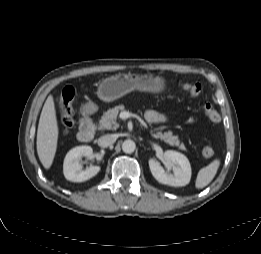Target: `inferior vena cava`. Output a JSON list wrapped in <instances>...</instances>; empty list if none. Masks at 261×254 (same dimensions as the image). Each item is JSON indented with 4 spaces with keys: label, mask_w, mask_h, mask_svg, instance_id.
Here are the masks:
<instances>
[{
    "label": "inferior vena cava",
    "mask_w": 261,
    "mask_h": 254,
    "mask_svg": "<svg viewBox=\"0 0 261 254\" xmlns=\"http://www.w3.org/2000/svg\"><path fill=\"white\" fill-rule=\"evenodd\" d=\"M117 137L115 134L103 135L98 139V145L101 147H108L116 141Z\"/></svg>",
    "instance_id": "inferior-vena-cava-1"
}]
</instances>
